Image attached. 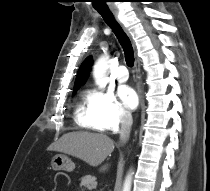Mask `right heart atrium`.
Instances as JSON below:
<instances>
[{
	"instance_id": "obj_1",
	"label": "right heart atrium",
	"mask_w": 210,
	"mask_h": 191,
	"mask_svg": "<svg viewBox=\"0 0 210 191\" xmlns=\"http://www.w3.org/2000/svg\"><path fill=\"white\" fill-rule=\"evenodd\" d=\"M89 103L99 124L106 131H117L131 120L130 113L112 92L93 91Z\"/></svg>"
}]
</instances>
